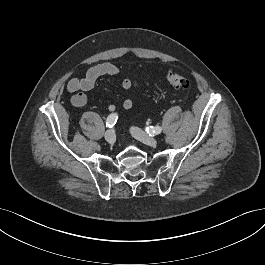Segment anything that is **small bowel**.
<instances>
[{
    "instance_id": "c3829d8e",
    "label": "small bowel",
    "mask_w": 265,
    "mask_h": 265,
    "mask_svg": "<svg viewBox=\"0 0 265 265\" xmlns=\"http://www.w3.org/2000/svg\"><path fill=\"white\" fill-rule=\"evenodd\" d=\"M120 73L118 66L112 63H100L90 67L83 78H72L67 83V90L73 93L71 103L75 107H82L87 103L88 97L86 92L94 88L96 82L103 76H115ZM121 86L125 90H129L136 86V82L132 78H124ZM133 106V99L127 98L122 102L123 109H130ZM116 106L110 104L108 110L115 111Z\"/></svg>"
}]
</instances>
